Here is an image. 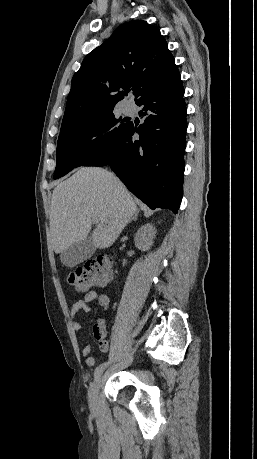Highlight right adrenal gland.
Masks as SVG:
<instances>
[{
    "label": "right adrenal gland",
    "mask_w": 257,
    "mask_h": 459,
    "mask_svg": "<svg viewBox=\"0 0 257 459\" xmlns=\"http://www.w3.org/2000/svg\"><path fill=\"white\" fill-rule=\"evenodd\" d=\"M136 220H137V214H135V215L131 218L130 221H136ZM130 221H129V222H130Z\"/></svg>",
    "instance_id": "2a0ac1e0"
}]
</instances>
